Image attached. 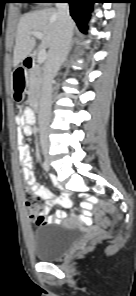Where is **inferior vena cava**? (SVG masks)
I'll return each instance as SVG.
<instances>
[{"label": "inferior vena cava", "mask_w": 136, "mask_h": 296, "mask_svg": "<svg viewBox=\"0 0 136 296\" xmlns=\"http://www.w3.org/2000/svg\"><path fill=\"white\" fill-rule=\"evenodd\" d=\"M56 7L60 21L59 33L44 66L43 85L39 102L38 122L42 146H49L48 131L51 119L53 80L66 59L72 38V19L69 14L68 3H57Z\"/></svg>", "instance_id": "1"}]
</instances>
